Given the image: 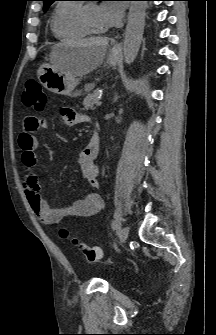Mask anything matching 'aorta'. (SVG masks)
I'll list each match as a JSON object with an SVG mask.
<instances>
[{"label": "aorta", "instance_id": "1", "mask_svg": "<svg viewBox=\"0 0 216 335\" xmlns=\"http://www.w3.org/2000/svg\"><path fill=\"white\" fill-rule=\"evenodd\" d=\"M147 4L145 1H132L128 13V22L123 41L125 63L135 60L143 38Z\"/></svg>", "mask_w": 216, "mask_h": 335}]
</instances>
